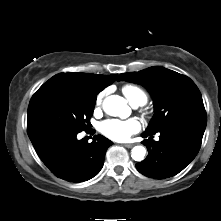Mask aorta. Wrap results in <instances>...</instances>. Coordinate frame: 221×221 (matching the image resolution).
Segmentation results:
<instances>
[{
  "label": "aorta",
  "instance_id": "aorta-1",
  "mask_svg": "<svg viewBox=\"0 0 221 221\" xmlns=\"http://www.w3.org/2000/svg\"><path fill=\"white\" fill-rule=\"evenodd\" d=\"M126 107V101L118 95L108 96L103 102L104 111L111 116H119ZM146 149L143 146H135L131 150V157L135 161H142L145 157Z\"/></svg>",
  "mask_w": 221,
  "mask_h": 221
}]
</instances>
